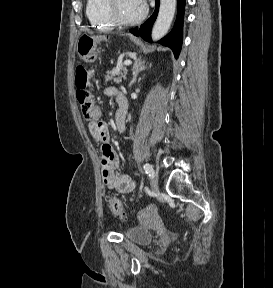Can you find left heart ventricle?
<instances>
[{"mask_svg": "<svg viewBox=\"0 0 273 288\" xmlns=\"http://www.w3.org/2000/svg\"><path fill=\"white\" fill-rule=\"evenodd\" d=\"M117 12L123 19H134L138 17L144 9L139 0H117Z\"/></svg>", "mask_w": 273, "mask_h": 288, "instance_id": "obj_1", "label": "left heart ventricle"}]
</instances>
